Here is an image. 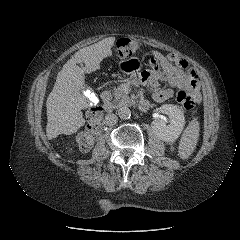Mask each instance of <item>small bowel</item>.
Masks as SVG:
<instances>
[{
    "label": "small bowel",
    "instance_id": "obj_1",
    "mask_svg": "<svg viewBox=\"0 0 240 240\" xmlns=\"http://www.w3.org/2000/svg\"><path fill=\"white\" fill-rule=\"evenodd\" d=\"M152 63L161 69H153L143 72L140 78L134 80L135 84L148 83L151 88L152 98L156 102H164L173 97V90L160 88V84L167 82L171 88L183 89L192 94L196 101L201 96L196 73L188 63L176 54L162 55L158 51H152Z\"/></svg>",
    "mask_w": 240,
    "mask_h": 240
}]
</instances>
